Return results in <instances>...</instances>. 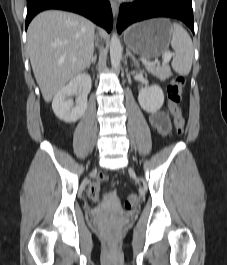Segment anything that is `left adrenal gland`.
Returning <instances> with one entry per match:
<instances>
[{
  "label": "left adrenal gland",
  "mask_w": 227,
  "mask_h": 265,
  "mask_svg": "<svg viewBox=\"0 0 227 265\" xmlns=\"http://www.w3.org/2000/svg\"><path fill=\"white\" fill-rule=\"evenodd\" d=\"M126 56L131 57V59L133 60L135 66L138 67V61L136 60L135 56L130 52L129 49H126Z\"/></svg>",
  "instance_id": "obj_1"
}]
</instances>
